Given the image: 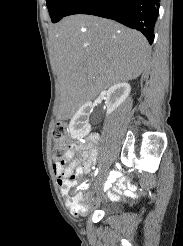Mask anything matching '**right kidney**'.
Instances as JSON below:
<instances>
[{
  "instance_id": "ca27d5eb",
  "label": "right kidney",
  "mask_w": 183,
  "mask_h": 246,
  "mask_svg": "<svg viewBox=\"0 0 183 246\" xmlns=\"http://www.w3.org/2000/svg\"><path fill=\"white\" fill-rule=\"evenodd\" d=\"M130 84L118 83L110 87L106 93L107 115L111 114L128 97ZM93 110L91 102L82 105L70 121L69 130L74 137H83L89 130V115Z\"/></svg>"
}]
</instances>
